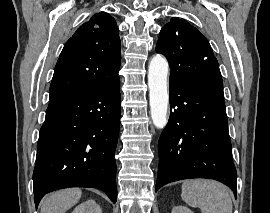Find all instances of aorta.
I'll return each mask as SVG.
<instances>
[{"instance_id": "1", "label": "aorta", "mask_w": 270, "mask_h": 213, "mask_svg": "<svg viewBox=\"0 0 270 213\" xmlns=\"http://www.w3.org/2000/svg\"><path fill=\"white\" fill-rule=\"evenodd\" d=\"M168 62L161 56H154L148 69V86L151 118L155 127L162 129L167 124L169 95L167 90Z\"/></svg>"}]
</instances>
